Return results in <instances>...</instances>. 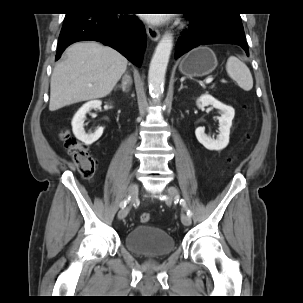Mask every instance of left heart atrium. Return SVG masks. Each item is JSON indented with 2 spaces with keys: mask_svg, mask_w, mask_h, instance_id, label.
<instances>
[{
  "mask_svg": "<svg viewBox=\"0 0 303 303\" xmlns=\"http://www.w3.org/2000/svg\"><path fill=\"white\" fill-rule=\"evenodd\" d=\"M146 18H148L152 22H159L161 16H159V15H148V16H146Z\"/></svg>",
  "mask_w": 303,
  "mask_h": 303,
  "instance_id": "left-heart-atrium-1",
  "label": "left heart atrium"
}]
</instances>
